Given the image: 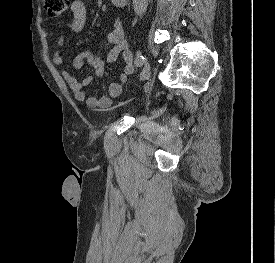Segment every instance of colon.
Wrapping results in <instances>:
<instances>
[{
  "label": "colon",
  "instance_id": "5ec220e1",
  "mask_svg": "<svg viewBox=\"0 0 275 263\" xmlns=\"http://www.w3.org/2000/svg\"><path fill=\"white\" fill-rule=\"evenodd\" d=\"M69 0H44V8L51 16H60L68 8Z\"/></svg>",
  "mask_w": 275,
  "mask_h": 263
}]
</instances>
